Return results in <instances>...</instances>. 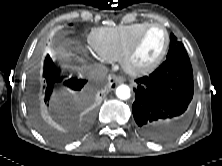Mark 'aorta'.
<instances>
[{
	"instance_id": "1",
	"label": "aorta",
	"mask_w": 222,
	"mask_h": 166,
	"mask_svg": "<svg viewBox=\"0 0 222 166\" xmlns=\"http://www.w3.org/2000/svg\"><path fill=\"white\" fill-rule=\"evenodd\" d=\"M116 95L121 100H127L131 96V90H130L129 86L122 84L117 87Z\"/></svg>"
}]
</instances>
